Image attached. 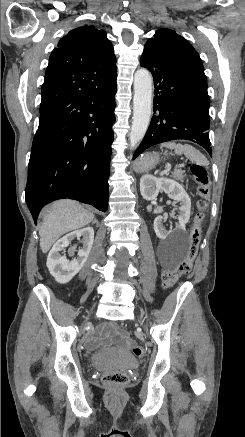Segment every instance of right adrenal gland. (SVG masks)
<instances>
[{"mask_svg": "<svg viewBox=\"0 0 245 437\" xmlns=\"http://www.w3.org/2000/svg\"><path fill=\"white\" fill-rule=\"evenodd\" d=\"M93 223H96L97 225L99 224L98 221H97L96 219L93 221Z\"/></svg>", "mask_w": 245, "mask_h": 437, "instance_id": "obj_1", "label": "right adrenal gland"}]
</instances>
